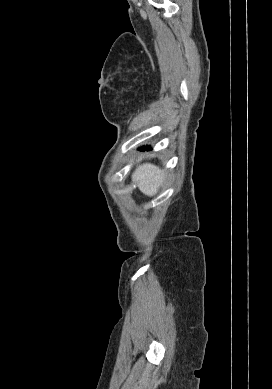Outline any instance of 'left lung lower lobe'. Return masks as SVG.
Here are the masks:
<instances>
[{
  "label": "left lung lower lobe",
  "instance_id": "left-lung-lower-lobe-1",
  "mask_svg": "<svg viewBox=\"0 0 272 389\" xmlns=\"http://www.w3.org/2000/svg\"><path fill=\"white\" fill-rule=\"evenodd\" d=\"M151 148L149 146H146V147H142L140 148V150L144 151V150H150Z\"/></svg>",
  "mask_w": 272,
  "mask_h": 389
}]
</instances>
